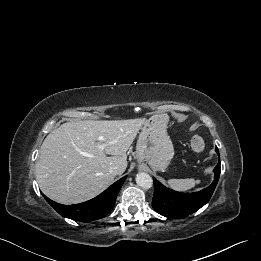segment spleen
<instances>
[{"label":"spleen","instance_id":"obj_1","mask_svg":"<svg viewBox=\"0 0 261 261\" xmlns=\"http://www.w3.org/2000/svg\"><path fill=\"white\" fill-rule=\"evenodd\" d=\"M200 180H194L192 178L190 179H170L168 180V185L177 191L184 192L187 191L193 187H195L196 184H199Z\"/></svg>","mask_w":261,"mask_h":261}]
</instances>
